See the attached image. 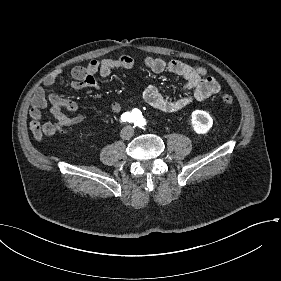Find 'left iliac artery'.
Wrapping results in <instances>:
<instances>
[{
    "label": "left iliac artery",
    "mask_w": 281,
    "mask_h": 281,
    "mask_svg": "<svg viewBox=\"0 0 281 281\" xmlns=\"http://www.w3.org/2000/svg\"><path fill=\"white\" fill-rule=\"evenodd\" d=\"M133 118L137 119L140 115V111H138L137 109H134L132 112Z\"/></svg>",
    "instance_id": "left-iliac-artery-1"
}]
</instances>
